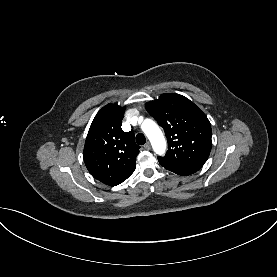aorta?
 <instances>
[{
    "instance_id": "762f6f07",
    "label": "aorta",
    "mask_w": 277,
    "mask_h": 277,
    "mask_svg": "<svg viewBox=\"0 0 277 277\" xmlns=\"http://www.w3.org/2000/svg\"><path fill=\"white\" fill-rule=\"evenodd\" d=\"M142 130L150 140L156 154L163 155L166 150V141L158 125L150 119H145L142 123Z\"/></svg>"
}]
</instances>
